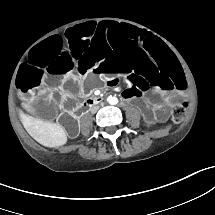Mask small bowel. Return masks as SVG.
<instances>
[{"label": "small bowel", "mask_w": 215, "mask_h": 215, "mask_svg": "<svg viewBox=\"0 0 215 215\" xmlns=\"http://www.w3.org/2000/svg\"><path fill=\"white\" fill-rule=\"evenodd\" d=\"M122 96L126 99H133L136 97V92L122 93Z\"/></svg>", "instance_id": "obj_1"}]
</instances>
